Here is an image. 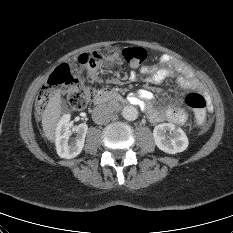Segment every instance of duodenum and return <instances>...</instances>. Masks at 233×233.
<instances>
[{
    "label": "duodenum",
    "instance_id": "410a0bca",
    "mask_svg": "<svg viewBox=\"0 0 233 233\" xmlns=\"http://www.w3.org/2000/svg\"><path fill=\"white\" fill-rule=\"evenodd\" d=\"M121 102H124L123 97L118 92L110 88H105L101 90L95 98V103L97 105H101L104 103L117 104Z\"/></svg>",
    "mask_w": 233,
    "mask_h": 233
}]
</instances>
